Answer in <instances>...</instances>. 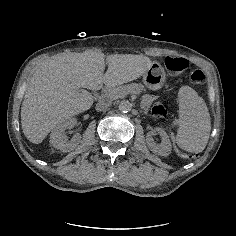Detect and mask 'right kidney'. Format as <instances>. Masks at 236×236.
Instances as JSON below:
<instances>
[{"mask_svg": "<svg viewBox=\"0 0 236 236\" xmlns=\"http://www.w3.org/2000/svg\"><path fill=\"white\" fill-rule=\"evenodd\" d=\"M77 123L74 118L66 120L61 126L56 127L50 134V144L63 152H70L81 148V135L75 134L70 141L64 135L66 128H72Z\"/></svg>", "mask_w": 236, "mask_h": 236, "instance_id": "1", "label": "right kidney"}]
</instances>
